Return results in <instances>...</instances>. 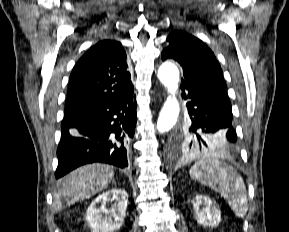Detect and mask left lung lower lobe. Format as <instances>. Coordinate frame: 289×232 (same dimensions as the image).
Segmentation results:
<instances>
[{"label":"left lung lower lobe","instance_id":"obj_1","mask_svg":"<svg viewBox=\"0 0 289 232\" xmlns=\"http://www.w3.org/2000/svg\"><path fill=\"white\" fill-rule=\"evenodd\" d=\"M181 89L183 98L188 100L187 108L192 121L190 132L205 146L203 152L236 156L237 138L227 93L203 83L186 80H182Z\"/></svg>","mask_w":289,"mask_h":232}]
</instances>
